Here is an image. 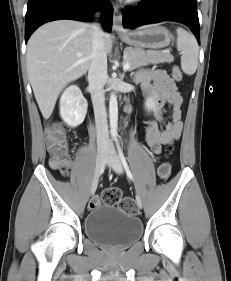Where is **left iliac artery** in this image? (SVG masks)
Wrapping results in <instances>:
<instances>
[{
  "label": "left iliac artery",
  "mask_w": 231,
  "mask_h": 281,
  "mask_svg": "<svg viewBox=\"0 0 231 281\" xmlns=\"http://www.w3.org/2000/svg\"><path fill=\"white\" fill-rule=\"evenodd\" d=\"M116 145H117L119 157H120L121 162H122V164H123V166H124V169H125V171H126L127 177H128L130 180L134 181L133 175H132V173H131V171H130V168H129V166H128V163H127V161H126V158H125V156H124V154H123V152H122V149H121V147H120V145H119V141H118L117 139H116Z\"/></svg>",
  "instance_id": "obj_1"
}]
</instances>
